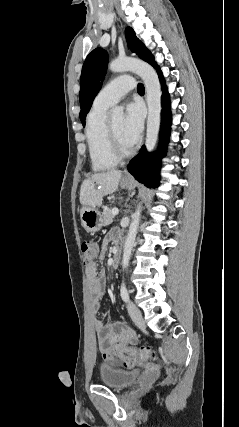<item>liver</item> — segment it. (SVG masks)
<instances>
[{"mask_svg":"<svg viewBox=\"0 0 239 427\" xmlns=\"http://www.w3.org/2000/svg\"><path fill=\"white\" fill-rule=\"evenodd\" d=\"M121 176L122 172L115 169L93 174L90 179L84 180L81 185L80 203L83 206H98L104 196L116 191Z\"/></svg>","mask_w":239,"mask_h":427,"instance_id":"obj_1","label":"liver"}]
</instances>
